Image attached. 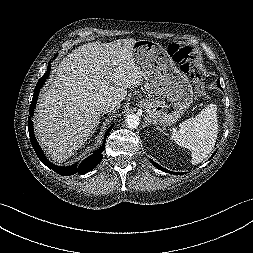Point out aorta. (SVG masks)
Segmentation results:
<instances>
[{"label":"aorta","mask_w":253,"mask_h":253,"mask_svg":"<svg viewBox=\"0 0 253 253\" xmlns=\"http://www.w3.org/2000/svg\"><path fill=\"white\" fill-rule=\"evenodd\" d=\"M125 122L130 129L137 128L140 124V118L137 114H130L126 117Z\"/></svg>","instance_id":"aorta-1"}]
</instances>
